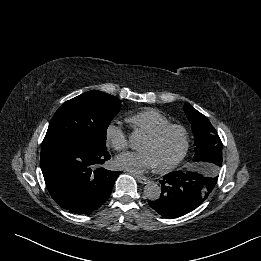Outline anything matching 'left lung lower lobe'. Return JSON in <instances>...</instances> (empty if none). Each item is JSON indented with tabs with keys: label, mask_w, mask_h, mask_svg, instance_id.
Returning a JSON list of instances; mask_svg holds the SVG:
<instances>
[{
	"label": "left lung lower lobe",
	"mask_w": 261,
	"mask_h": 261,
	"mask_svg": "<svg viewBox=\"0 0 261 261\" xmlns=\"http://www.w3.org/2000/svg\"><path fill=\"white\" fill-rule=\"evenodd\" d=\"M195 169L206 175L191 171H174L163 180L159 199L148 201L149 205L166 218H177L200 206L217 183V169L197 166Z\"/></svg>",
	"instance_id": "obj_1"
}]
</instances>
